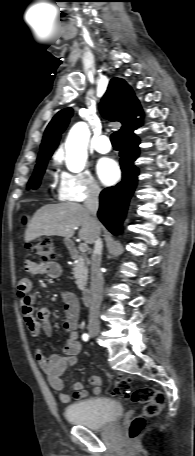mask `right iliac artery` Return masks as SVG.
<instances>
[{
  "label": "right iliac artery",
  "instance_id": "82829eb1",
  "mask_svg": "<svg viewBox=\"0 0 195 456\" xmlns=\"http://www.w3.org/2000/svg\"><path fill=\"white\" fill-rule=\"evenodd\" d=\"M82 339H83L84 341H88V340H89V335H88L87 333H84V334L82 335Z\"/></svg>",
  "mask_w": 195,
  "mask_h": 456
}]
</instances>
